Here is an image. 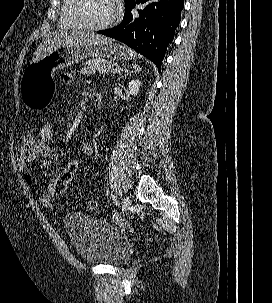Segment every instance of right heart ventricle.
Returning <instances> with one entry per match:
<instances>
[{
    "mask_svg": "<svg viewBox=\"0 0 272 303\" xmlns=\"http://www.w3.org/2000/svg\"><path fill=\"white\" fill-rule=\"evenodd\" d=\"M71 0H63L60 10L59 26L63 29H78L80 26L69 16Z\"/></svg>",
    "mask_w": 272,
    "mask_h": 303,
    "instance_id": "1",
    "label": "right heart ventricle"
}]
</instances>
